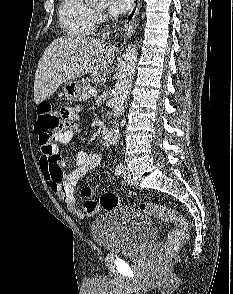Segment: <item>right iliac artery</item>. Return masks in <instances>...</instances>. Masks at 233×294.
Returning <instances> with one entry per match:
<instances>
[{
  "instance_id": "82829eb1",
  "label": "right iliac artery",
  "mask_w": 233,
  "mask_h": 294,
  "mask_svg": "<svg viewBox=\"0 0 233 294\" xmlns=\"http://www.w3.org/2000/svg\"><path fill=\"white\" fill-rule=\"evenodd\" d=\"M122 172H123V166H122V164L117 165L116 168H115V174L117 176H120L122 174Z\"/></svg>"
}]
</instances>
